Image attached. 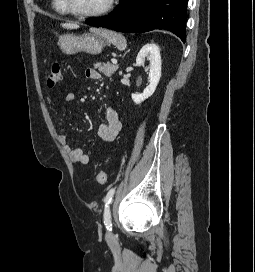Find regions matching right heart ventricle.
Wrapping results in <instances>:
<instances>
[{
	"mask_svg": "<svg viewBox=\"0 0 255 272\" xmlns=\"http://www.w3.org/2000/svg\"><path fill=\"white\" fill-rule=\"evenodd\" d=\"M52 8L56 13L60 15L69 14L64 7L63 0H52Z\"/></svg>",
	"mask_w": 255,
	"mask_h": 272,
	"instance_id": "obj_1",
	"label": "right heart ventricle"
}]
</instances>
